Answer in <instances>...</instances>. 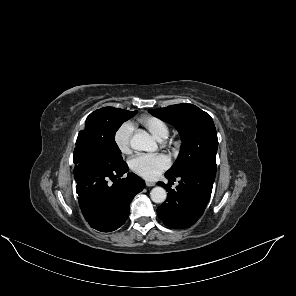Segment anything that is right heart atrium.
I'll return each mask as SVG.
<instances>
[{
  "mask_svg": "<svg viewBox=\"0 0 296 296\" xmlns=\"http://www.w3.org/2000/svg\"><path fill=\"white\" fill-rule=\"evenodd\" d=\"M133 127L129 123L120 125L114 133V143L122 154H129L132 150Z\"/></svg>",
  "mask_w": 296,
  "mask_h": 296,
  "instance_id": "1",
  "label": "right heart atrium"
}]
</instances>
